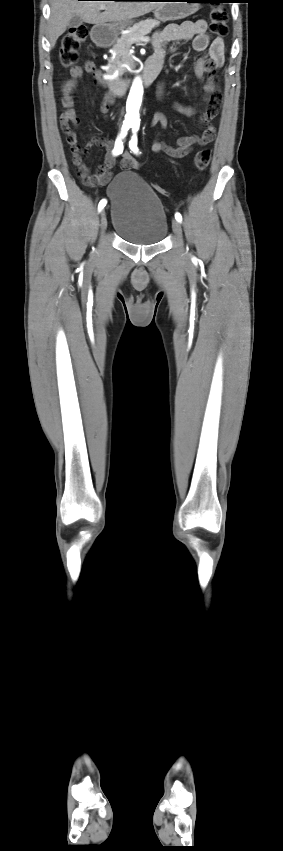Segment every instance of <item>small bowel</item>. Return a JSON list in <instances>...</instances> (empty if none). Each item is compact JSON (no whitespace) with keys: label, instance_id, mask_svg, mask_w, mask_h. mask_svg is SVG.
I'll list each match as a JSON object with an SVG mask.
<instances>
[{"label":"small bowel","instance_id":"obj_1","mask_svg":"<svg viewBox=\"0 0 283 851\" xmlns=\"http://www.w3.org/2000/svg\"><path fill=\"white\" fill-rule=\"evenodd\" d=\"M192 42V48L198 52H205L200 57L194 66L195 74L200 79H206L204 90L206 92L205 102L207 108L199 115V122L205 124L210 121L216 114L221 102L219 95H214V71L217 67H221L224 62L225 43L222 38L210 40L207 33V23L204 20L184 21L181 24H169L162 30L155 33L153 38L154 55L156 58L164 61L166 57V45L169 42ZM151 59V58H150ZM91 74L94 79L101 85V89L108 90L111 87V82L106 74L99 71L94 62L86 61L83 65H76L70 70V78L62 87V101L65 107V113L61 116V126L70 150L72 153L73 164L77 167L79 173L87 177L89 180L85 183L88 185H105L111 178V168L115 165V157L111 153H107L103 165L98 168L94 176L90 175L89 168L83 162L82 154L88 153L92 146H103L110 148L112 142L104 137H92L84 148L78 144V137L74 130L69 128L70 122L76 121L74 102L72 93L77 86L78 79L84 74ZM165 94L164 85L160 86L159 95L162 97ZM114 102V96L106 93L100 105V110L103 114H107L111 105ZM175 110L186 116L195 115L196 111L193 107L184 106L179 103H174ZM165 124L163 114L156 113L151 124ZM208 132H212L211 134ZM214 138V130L207 129L202 135H189L178 139L175 147L169 146L166 143L156 138L152 144V150L156 153L164 152L173 158H183L191 153L193 146L196 144L205 145L210 143ZM141 164L134 159L129 153H124L121 160L123 169L138 168Z\"/></svg>","mask_w":283,"mask_h":851}]
</instances>
